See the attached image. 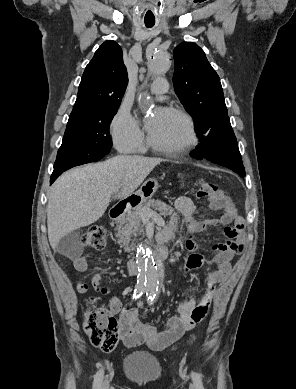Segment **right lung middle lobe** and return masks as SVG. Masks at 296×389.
Listing matches in <instances>:
<instances>
[{"label":"right lung middle lobe","instance_id":"dd1d6c3e","mask_svg":"<svg viewBox=\"0 0 296 389\" xmlns=\"http://www.w3.org/2000/svg\"><path fill=\"white\" fill-rule=\"evenodd\" d=\"M119 106L89 111L81 118L69 120L58 150L54 170L97 162L111 150L110 123Z\"/></svg>","mask_w":296,"mask_h":389}]
</instances>
